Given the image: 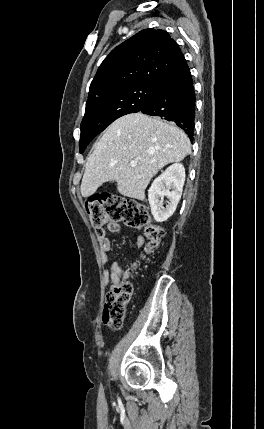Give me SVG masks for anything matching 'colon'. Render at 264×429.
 Here are the masks:
<instances>
[{"mask_svg": "<svg viewBox=\"0 0 264 429\" xmlns=\"http://www.w3.org/2000/svg\"><path fill=\"white\" fill-rule=\"evenodd\" d=\"M85 208L96 233H101L110 221H121L132 228L143 229L148 240L146 253L154 251L163 237L162 227L152 223L148 210L136 201L112 194H96L86 200ZM120 275L105 295L102 317L103 323L113 329L122 327L133 292L128 274L122 272Z\"/></svg>", "mask_w": 264, "mask_h": 429, "instance_id": "colon-1", "label": "colon"}]
</instances>
